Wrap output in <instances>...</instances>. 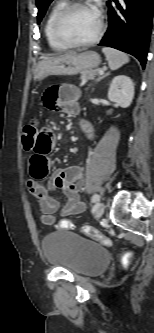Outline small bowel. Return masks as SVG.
<instances>
[{"label":"small bowel","instance_id":"obj_1","mask_svg":"<svg viewBox=\"0 0 154 333\" xmlns=\"http://www.w3.org/2000/svg\"><path fill=\"white\" fill-rule=\"evenodd\" d=\"M77 98L78 90L70 84L52 86L46 90L43 97L44 104L48 108L71 115L79 113ZM82 129L89 137L92 135L87 122H82ZM55 144V134L50 128H38L34 148L29 158V171L32 180L28 182V189L38 200L41 223L47 226L55 224V214L59 209L63 217L81 214L86 209L85 203L80 198V190L83 186V175L80 167L70 166L58 169L49 175V155L54 150ZM46 177H48L47 185L38 182ZM54 189H60L66 196V202L61 208L59 202L52 195Z\"/></svg>","mask_w":154,"mask_h":333}]
</instances>
